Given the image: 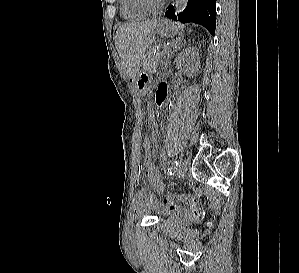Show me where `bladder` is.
Returning <instances> with one entry per match:
<instances>
[{"mask_svg": "<svg viewBox=\"0 0 299 273\" xmlns=\"http://www.w3.org/2000/svg\"><path fill=\"white\" fill-rule=\"evenodd\" d=\"M149 209H157L154 202L149 203L146 207ZM158 210V209H157ZM158 217L160 220H164L169 225H174L176 222H178L180 219L177 217H164L162 214H158Z\"/></svg>", "mask_w": 299, "mask_h": 273, "instance_id": "31cf9c89", "label": "bladder"}]
</instances>
